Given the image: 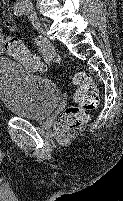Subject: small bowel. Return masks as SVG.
<instances>
[{
    "label": "small bowel",
    "mask_w": 123,
    "mask_h": 201,
    "mask_svg": "<svg viewBox=\"0 0 123 201\" xmlns=\"http://www.w3.org/2000/svg\"><path fill=\"white\" fill-rule=\"evenodd\" d=\"M3 28L8 29L10 32H15L16 30V25L14 22L10 19H4L0 25V55L4 53V48H3V41H4V33H3Z\"/></svg>",
    "instance_id": "small-bowel-1"
}]
</instances>
